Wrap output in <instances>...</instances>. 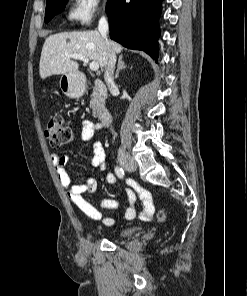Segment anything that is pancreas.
Returning a JSON list of instances; mask_svg holds the SVG:
<instances>
[{"instance_id":"pancreas-1","label":"pancreas","mask_w":247,"mask_h":296,"mask_svg":"<svg viewBox=\"0 0 247 296\" xmlns=\"http://www.w3.org/2000/svg\"><path fill=\"white\" fill-rule=\"evenodd\" d=\"M97 106H98V102L96 101V99H91L90 101V107L93 110V116L96 117V113H97Z\"/></svg>"}]
</instances>
